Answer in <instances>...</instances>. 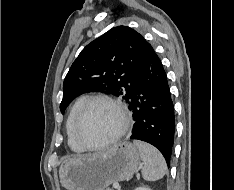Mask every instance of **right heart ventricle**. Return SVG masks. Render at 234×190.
<instances>
[{
	"label": "right heart ventricle",
	"mask_w": 234,
	"mask_h": 190,
	"mask_svg": "<svg viewBox=\"0 0 234 190\" xmlns=\"http://www.w3.org/2000/svg\"><path fill=\"white\" fill-rule=\"evenodd\" d=\"M87 98L82 97L79 98L72 106L69 115L67 117V121H66V125H65V130H66V135H67V141H68V145L69 147L75 151V152H81L84 149L76 142V140L74 139L73 136V127H74V122L77 116V113L80 109V107L82 106V104L84 103V101Z\"/></svg>",
	"instance_id": "1"
}]
</instances>
